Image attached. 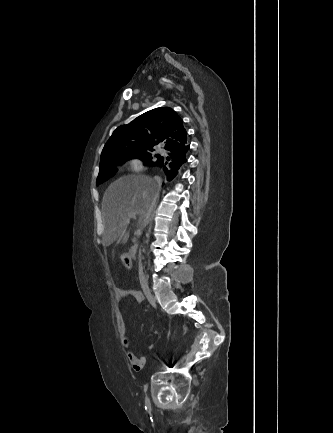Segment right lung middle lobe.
Masks as SVG:
<instances>
[{"label": "right lung middle lobe", "instance_id": "right-lung-middle-lobe-1", "mask_svg": "<svg viewBox=\"0 0 333 433\" xmlns=\"http://www.w3.org/2000/svg\"><path fill=\"white\" fill-rule=\"evenodd\" d=\"M151 151H153V149L125 151L100 160V171L96 184L99 185L112 177L117 172V166L124 164L129 159L137 158L147 165L155 166L160 160V157L156 155L158 159L152 161L153 157Z\"/></svg>", "mask_w": 333, "mask_h": 433}]
</instances>
